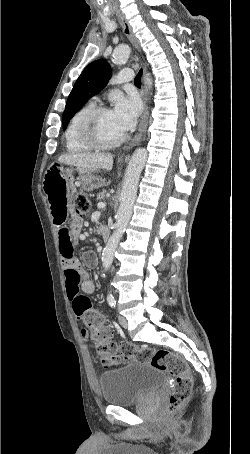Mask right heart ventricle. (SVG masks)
<instances>
[{"instance_id":"1","label":"right heart ventricle","mask_w":250,"mask_h":454,"mask_svg":"<svg viewBox=\"0 0 250 454\" xmlns=\"http://www.w3.org/2000/svg\"><path fill=\"white\" fill-rule=\"evenodd\" d=\"M95 107L96 105L94 102H89L85 104L83 107H81L79 110H77L75 114L72 116L64 133L67 151L72 153H80L92 149L80 139L79 130L81 121L84 118V116Z\"/></svg>"}]
</instances>
